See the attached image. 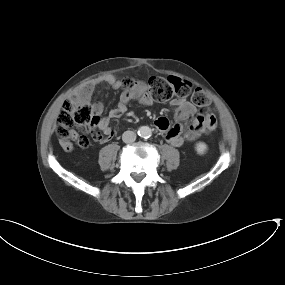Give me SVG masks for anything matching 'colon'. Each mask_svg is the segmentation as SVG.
<instances>
[{
	"label": "colon",
	"mask_w": 285,
	"mask_h": 285,
	"mask_svg": "<svg viewBox=\"0 0 285 285\" xmlns=\"http://www.w3.org/2000/svg\"><path fill=\"white\" fill-rule=\"evenodd\" d=\"M121 86L130 91L135 88L131 78H124ZM146 90L159 102H165L175 97L190 96L192 103L200 108L209 106L210 100L202 89H194L191 82L177 77H153L148 81ZM92 92L86 89L83 99L79 101L66 100L58 117L57 135L68 144L72 138V131L77 128L84 136L90 134L94 141H102L107 138L105 131L99 129L97 118L91 114L88 99ZM206 131H211L216 126V121L211 118L205 123ZM84 138V137H83Z\"/></svg>",
	"instance_id": "5ec220e1"
}]
</instances>
